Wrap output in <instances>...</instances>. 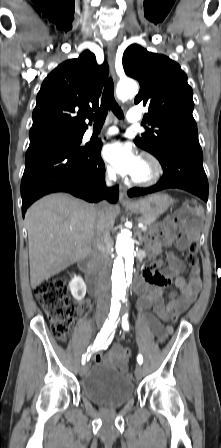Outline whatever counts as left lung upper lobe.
Instances as JSON below:
<instances>
[{"label": "left lung upper lobe", "mask_w": 221, "mask_h": 448, "mask_svg": "<svg viewBox=\"0 0 221 448\" xmlns=\"http://www.w3.org/2000/svg\"><path fill=\"white\" fill-rule=\"evenodd\" d=\"M123 67L140 83L135 104L148 106L143 121L152 126L136 137L135 144L156 157L174 147L200 148L193 91L179 64L133 44L123 54Z\"/></svg>", "instance_id": "5c2ea615"}]
</instances>
